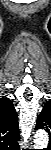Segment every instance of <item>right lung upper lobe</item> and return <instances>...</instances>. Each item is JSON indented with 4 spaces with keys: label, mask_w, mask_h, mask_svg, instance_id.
Returning a JSON list of instances; mask_svg holds the SVG:
<instances>
[{
    "label": "right lung upper lobe",
    "mask_w": 51,
    "mask_h": 150,
    "mask_svg": "<svg viewBox=\"0 0 51 150\" xmlns=\"http://www.w3.org/2000/svg\"><path fill=\"white\" fill-rule=\"evenodd\" d=\"M19 124L16 110L8 98H0V143L1 147L16 150L19 145Z\"/></svg>",
    "instance_id": "obj_1"
}]
</instances>
